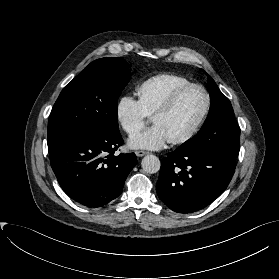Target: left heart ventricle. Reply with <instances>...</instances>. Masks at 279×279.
<instances>
[{
	"label": "left heart ventricle",
	"mask_w": 279,
	"mask_h": 279,
	"mask_svg": "<svg viewBox=\"0 0 279 279\" xmlns=\"http://www.w3.org/2000/svg\"><path fill=\"white\" fill-rule=\"evenodd\" d=\"M204 105V93L196 88L189 89L179 97L169 113L156 118L153 123L164 130L169 140L179 138L194 125Z\"/></svg>",
	"instance_id": "1"
}]
</instances>
